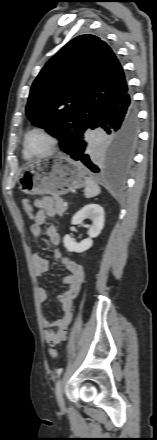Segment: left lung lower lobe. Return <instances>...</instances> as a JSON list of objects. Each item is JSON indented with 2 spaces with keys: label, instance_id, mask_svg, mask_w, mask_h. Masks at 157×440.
<instances>
[{
  "label": "left lung lower lobe",
  "instance_id": "0a47b994",
  "mask_svg": "<svg viewBox=\"0 0 157 440\" xmlns=\"http://www.w3.org/2000/svg\"><path fill=\"white\" fill-rule=\"evenodd\" d=\"M99 129L110 135L103 141L90 139L85 132ZM138 134V112L129 89L103 105L87 129L66 152L95 173L122 176L129 166Z\"/></svg>",
  "mask_w": 157,
  "mask_h": 440
}]
</instances>
